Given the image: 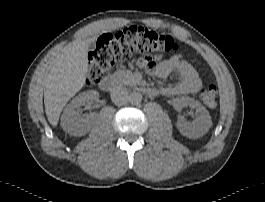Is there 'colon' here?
<instances>
[{
  "label": "colon",
  "mask_w": 265,
  "mask_h": 202,
  "mask_svg": "<svg viewBox=\"0 0 265 202\" xmlns=\"http://www.w3.org/2000/svg\"><path fill=\"white\" fill-rule=\"evenodd\" d=\"M179 43L171 36L153 29L131 26L115 33L101 35L88 55V78L96 85L115 64L130 62L146 68L155 67V57L160 53H175ZM199 98L209 108L217 103V88L207 85L200 89Z\"/></svg>",
  "instance_id": "obj_1"
}]
</instances>
